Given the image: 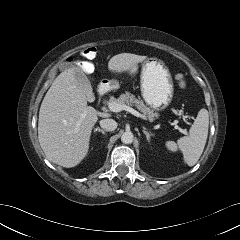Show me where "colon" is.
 <instances>
[{"label":"colon","mask_w":240,"mask_h":240,"mask_svg":"<svg viewBox=\"0 0 240 240\" xmlns=\"http://www.w3.org/2000/svg\"><path fill=\"white\" fill-rule=\"evenodd\" d=\"M81 54L85 58H89L90 59V58L95 57L96 49L94 47H88V48L82 50ZM176 80L178 81V83H179V85L181 87H185L186 83H185L184 76L182 74H177Z\"/></svg>","instance_id":"5ec220e1"}]
</instances>
